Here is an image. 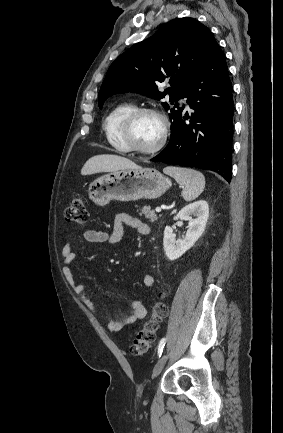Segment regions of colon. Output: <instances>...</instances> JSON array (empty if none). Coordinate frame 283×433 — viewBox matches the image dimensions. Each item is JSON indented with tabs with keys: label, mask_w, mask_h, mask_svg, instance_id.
<instances>
[{
	"label": "colon",
	"mask_w": 283,
	"mask_h": 433,
	"mask_svg": "<svg viewBox=\"0 0 283 433\" xmlns=\"http://www.w3.org/2000/svg\"><path fill=\"white\" fill-rule=\"evenodd\" d=\"M65 219L79 227L86 225L88 221V210L85 196L76 194L70 200L65 212ZM163 294H159V299L155 303L151 317L144 323L136 334L130 351L132 354L140 356L148 352L156 338V333L161 321L167 315V306L162 300Z\"/></svg>",
	"instance_id": "colon-1"
}]
</instances>
